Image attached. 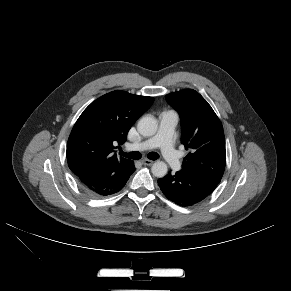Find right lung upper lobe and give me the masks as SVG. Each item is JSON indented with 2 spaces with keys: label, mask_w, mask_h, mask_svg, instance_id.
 Here are the masks:
<instances>
[{
  "label": "right lung upper lobe",
  "mask_w": 291,
  "mask_h": 291,
  "mask_svg": "<svg viewBox=\"0 0 291 291\" xmlns=\"http://www.w3.org/2000/svg\"><path fill=\"white\" fill-rule=\"evenodd\" d=\"M152 103V97L124 91L107 93L92 102L78 118L68 139L70 170L78 175L96 164L131 163L117 157L115 145L125 142L131 126Z\"/></svg>",
  "instance_id": "1"
}]
</instances>
